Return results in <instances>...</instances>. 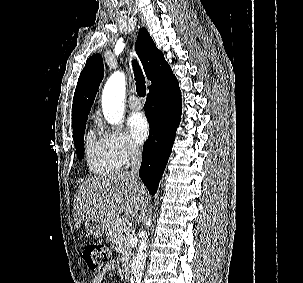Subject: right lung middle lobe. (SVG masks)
<instances>
[{
    "mask_svg": "<svg viewBox=\"0 0 303 283\" xmlns=\"http://www.w3.org/2000/svg\"><path fill=\"white\" fill-rule=\"evenodd\" d=\"M86 121L73 127L74 144L79 160L84 158V132Z\"/></svg>",
    "mask_w": 303,
    "mask_h": 283,
    "instance_id": "dd1d6c3e",
    "label": "right lung middle lobe"
}]
</instances>
